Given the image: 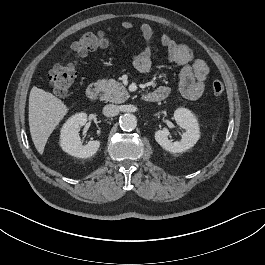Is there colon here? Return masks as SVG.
I'll return each instance as SVG.
<instances>
[{
	"label": "colon",
	"mask_w": 265,
	"mask_h": 265,
	"mask_svg": "<svg viewBox=\"0 0 265 265\" xmlns=\"http://www.w3.org/2000/svg\"><path fill=\"white\" fill-rule=\"evenodd\" d=\"M109 45V40L102 32L86 33L70 46L67 56L58 64L54 65L49 72V83L58 96H67L77 75L76 58L88 51ZM212 94L220 98L224 93V85L216 80L211 85Z\"/></svg>",
	"instance_id": "5ec220e1"
}]
</instances>
